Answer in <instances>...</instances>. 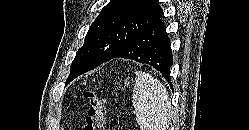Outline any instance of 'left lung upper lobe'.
<instances>
[{"mask_svg":"<svg viewBox=\"0 0 249 130\" xmlns=\"http://www.w3.org/2000/svg\"><path fill=\"white\" fill-rule=\"evenodd\" d=\"M161 16L157 0H111L90 26L65 84L112 59L134 36Z\"/></svg>","mask_w":249,"mask_h":130,"instance_id":"5c2ea615","label":"left lung upper lobe"}]
</instances>
